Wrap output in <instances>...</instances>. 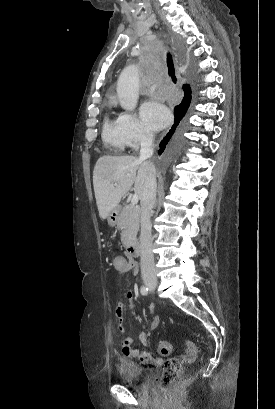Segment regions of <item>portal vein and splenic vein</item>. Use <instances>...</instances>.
<instances>
[{"mask_svg": "<svg viewBox=\"0 0 275 409\" xmlns=\"http://www.w3.org/2000/svg\"><path fill=\"white\" fill-rule=\"evenodd\" d=\"M115 184H117V182H115ZM131 202L132 205H137L138 202V194H133L132 198H131Z\"/></svg>", "mask_w": 275, "mask_h": 409, "instance_id": "portal-vein-and-splenic-vein-1", "label": "portal vein and splenic vein"}]
</instances>
